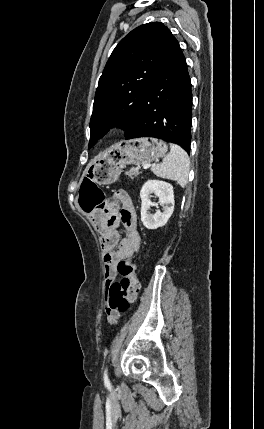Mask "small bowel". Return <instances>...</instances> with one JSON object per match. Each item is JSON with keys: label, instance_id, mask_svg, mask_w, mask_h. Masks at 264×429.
I'll return each mask as SVG.
<instances>
[{"label": "small bowel", "instance_id": "obj_1", "mask_svg": "<svg viewBox=\"0 0 264 429\" xmlns=\"http://www.w3.org/2000/svg\"><path fill=\"white\" fill-rule=\"evenodd\" d=\"M113 199L120 207L118 214L95 211L89 214L93 226L101 231V248L105 264V279L109 284L116 277V265L124 257L138 252L140 247V235L137 230V214L132 199L125 190H117ZM122 223L124 237L121 238L117 229ZM110 323L118 319L117 313L107 312Z\"/></svg>", "mask_w": 264, "mask_h": 429}]
</instances>
